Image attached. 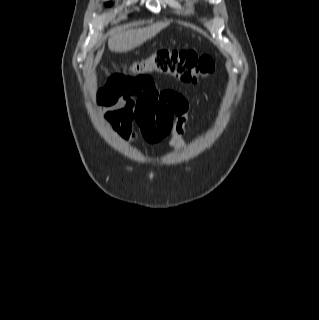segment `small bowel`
Returning a JSON list of instances; mask_svg holds the SVG:
<instances>
[{
    "mask_svg": "<svg viewBox=\"0 0 319 320\" xmlns=\"http://www.w3.org/2000/svg\"><path fill=\"white\" fill-rule=\"evenodd\" d=\"M134 95H138L136 100ZM97 102L103 107L101 120L123 138L129 136L126 126L135 113H151L161 124L171 126L169 148L175 152L185 148L189 104L181 93L173 89H157L154 80L147 78L125 89L109 85L98 92Z\"/></svg>",
    "mask_w": 319,
    "mask_h": 320,
    "instance_id": "c3829d8e",
    "label": "small bowel"
}]
</instances>
